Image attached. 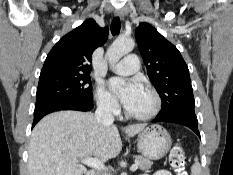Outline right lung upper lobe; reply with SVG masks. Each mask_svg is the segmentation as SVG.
Listing matches in <instances>:
<instances>
[{
	"instance_id": "cb5924a9",
	"label": "right lung upper lobe",
	"mask_w": 233,
	"mask_h": 175,
	"mask_svg": "<svg viewBox=\"0 0 233 175\" xmlns=\"http://www.w3.org/2000/svg\"><path fill=\"white\" fill-rule=\"evenodd\" d=\"M108 29L100 27L95 20L87 19L80 26L63 36L51 49L40 73L41 77L90 73L91 57L102 46Z\"/></svg>"
}]
</instances>
